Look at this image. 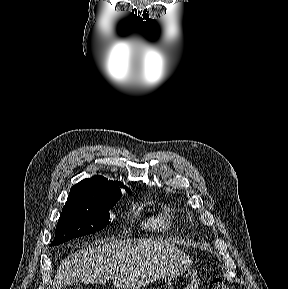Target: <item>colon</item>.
<instances>
[{
	"label": "colon",
	"instance_id": "5ec220e1",
	"mask_svg": "<svg viewBox=\"0 0 288 289\" xmlns=\"http://www.w3.org/2000/svg\"><path fill=\"white\" fill-rule=\"evenodd\" d=\"M209 289H231V288L221 280H213L209 285Z\"/></svg>",
	"mask_w": 288,
	"mask_h": 289
}]
</instances>
